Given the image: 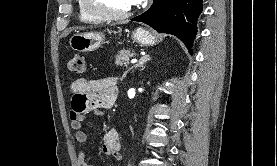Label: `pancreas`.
<instances>
[{
  "instance_id": "cf45deb5",
  "label": "pancreas",
  "mask_w": 277,
  "mask_h": 166,
  "mask_svg": "<svg viewBox=\"0 0 277 166\" xmlns=\"http://www.w3.org/2000/svg\"><path fill=\"white\" fill-rule=\"evenodd\" d=\"M135 55L134 50H121L119 51L115 56V63L117 66L123 67L126 66L129 63L130 57H133Z\"/></svg>"
}]
</instances>
